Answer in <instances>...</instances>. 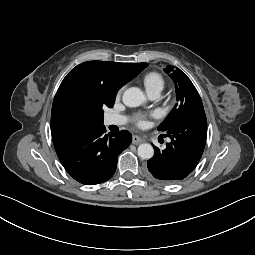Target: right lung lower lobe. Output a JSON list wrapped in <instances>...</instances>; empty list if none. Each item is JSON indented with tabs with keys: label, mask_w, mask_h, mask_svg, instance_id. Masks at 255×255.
<instances>
[{
	"label": "right lung lower lobe",
	"mask_w": 255,
	"mask_h": 255,
	"mask_svg": "<svg viewBox=\"0 0 255 255\" xmlns=\"http://www.w3.org/2000/svg\"><path fill=\"white\" fill-rule=\"evenodd\" d=\"M104 125L53 136V144L65 170L78 182L95 185L110 179L118 155L126 149L132 135L126 130L105 134Z\"/></svg>",
	"instance_id": "98d812e1"
}]
</instances>
